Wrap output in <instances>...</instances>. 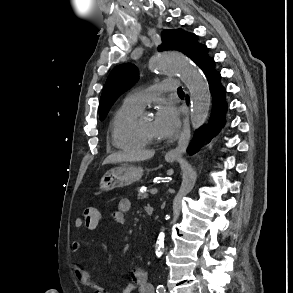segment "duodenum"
<instances>
[{
    "instance_id": "duodenum-1",
    "label": "duodenum",
    "mask_w": 293,
    "mask_h": 293,
    "mask_svg": "<svg viewBox=\"0 0 293 293\" xmlns=\"http://www.w3.org/2000/svg\"><path fill=\"white\" fill-rule=\"evenodd\" d=\"M145 212L148 216H152L154 213V208L152 206H146L145 207Z\"/></svg>"
}]
</instances>
